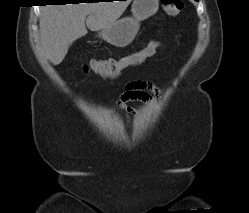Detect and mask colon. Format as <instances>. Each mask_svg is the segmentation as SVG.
Listing matches in <instances>:
<instances>
[{"label": "colon", "mask_w": 249, "mask_h": 213, "mask_svg": "<svg viewBox=\"0 0 249 213\" xmlns=\"http://www.w3.org/2000/svg\"><path fill=\"white\" fill-rule=\"evenodd\" d=\"M162 6L170 16L179 14L184 8L183 0H161ZM157 48L156 42H150L142 50L133 52L129 57L120 59L110 58L106 60H92L89 64L83 66V71L93 72L103 77H115L121 70L129 67L134 61L145 60L152 56Z\"/></svg>", "instance_id": "colon-1"}]
</instances>
